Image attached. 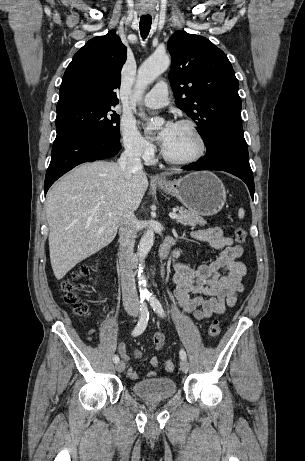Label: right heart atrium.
<instances>
[{
	"instance_id": "right-heart-atrium-1",
	"label": "right heart atrium",
	"mask_w": 305,
	"mask_h": 461,
	"mask_svg": "<svg viewBox=\"0 0 305 461\" xmlns=\"http://www.w3.org/2000/svg\"><path fill=\"white\" fill-rule=\"evenodd\" d=\"M120 134L122 144L129 154L145 160L152 157L154 146L139 132L131 120L121 121Z\"/></svg>"
}]
</instances>
